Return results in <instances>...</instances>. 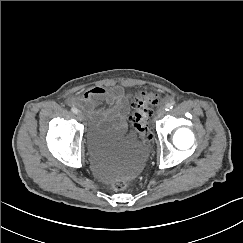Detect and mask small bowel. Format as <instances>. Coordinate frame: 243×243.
<instances>
[{"label":"small bowel","instance_id":"small-bowel-1","mask_svg":"<svg viewBox=\"0 0 243 243\" xmlns=\"http://www.w3.org/2000/svg\"><path fill=\"white\" fill-rule=\"evenodd\" d=\"M71 104L82 107L95 118L114 117L121 127H126L129 113V95L121 86H94L75 95Z\"/></svg>","mask_w":243,"mask_h":243}]
</instances>
